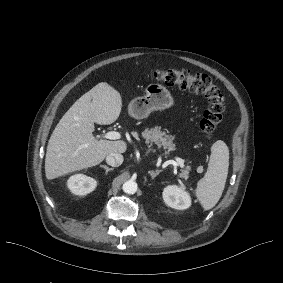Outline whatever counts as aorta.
I'll use <instances>...</instances> for the list:
<instances>
[{"label":"aorta","mask_w":283,"mask_h":283,"mask_svg":"<svg viewBox=\"0 0 283 283\" xmlns=\"http://www.w3.org/2000/svg\"><path fill=\"white\" fill-rule=\"evenodd\" d=\"M138 185L133 180H127L123 186L122 189L127 194H134L137 191Z\"/></svg>","instance_id":"1"}]
</instances>
